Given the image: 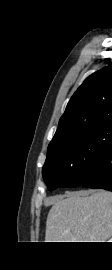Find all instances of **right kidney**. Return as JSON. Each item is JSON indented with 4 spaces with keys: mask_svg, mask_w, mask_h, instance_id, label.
Here are the masks:
<instances>
[{
    "mask_svg": "<svg viewBox=\"0 0 112 270\" xmlns=\"http://www.w3.org/2000/svg\"><path fill=\"white\" fill-rule=\"evenodd\" d=\"M109 242H112V238L109 240Z\"/></svg>",
    "mask_w": 112,
    "mask_h": 270,
    "instance_id": "ca27d5eb",
    "label": "right kidney"
}]
</instances>
